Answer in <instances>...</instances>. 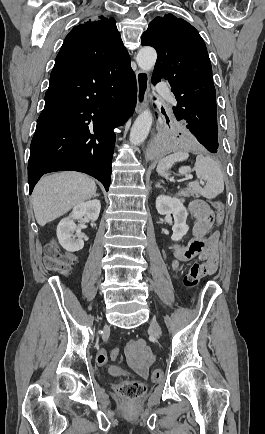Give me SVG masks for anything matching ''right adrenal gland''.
<instances>
[{
	"label": "right adrenal gland",
	"instance_id": "obj_1",
	"mask_svg": "<svg viewBox=\"0 0 265 434\" xmlns=\"http://www.w3.org/2000/svg\"><path fill=\"white\" fill-rule=\"evenodd\" d=\"M95 196H100V194H94V198H95Z\"/></svg>",
	"mask_w": 265,
	"mask_h": 434
}]
</instances>
